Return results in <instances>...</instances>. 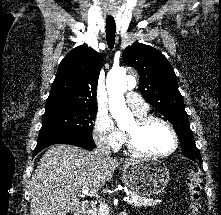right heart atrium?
I'll list each match as a JSON object with an SVG mask.
<instances>
[{
  "mask_svg": "<svg viewBox=\"0 0 221 215\" xmlns=\"http://www.w3.org/2000/svg\"><path fill=\"white\" fill-rule=\"evenodd\" d=\"M95 142L102 147L113 150L119 149L124 142V133L116 128L112 120L106 115H98L93 129Z\"/></svg>",
  "mask_w": 221,
  "mask_h": 215,
  "instance_id": "1",
  "label": "right heart atrium"
}]
</instances>
